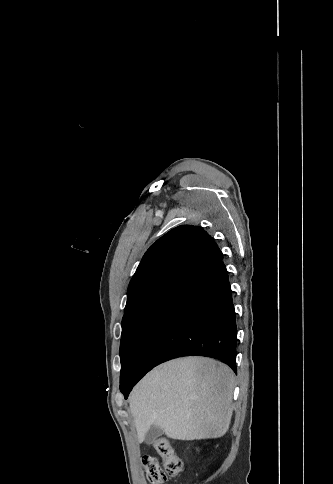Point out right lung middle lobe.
Instances as JSON below:
<instances>
[{
    "instance_id": "obj_1",
    "label": "right lung middle lobe",
    "mask_w": 333,
    "mask_h": 484,
    "mask_svg": "<svg viewBox=\"0 0 333 484\" xmlns=\"http://www.w3.org/2000/svg\"><path fill=\"white\" fill-rule=\"evenodd\" d=\"M170 293L159 294L126 312L122 319L120 344V389L124 388L131 372L139 342L154 314Z\"/></svg>"
}]
</instances>
